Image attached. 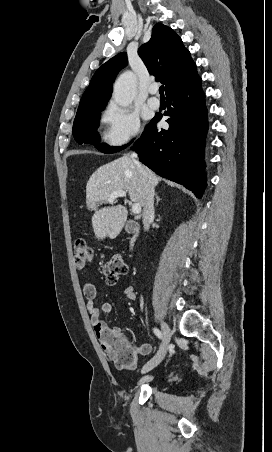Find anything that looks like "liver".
<instances>
[{
    "instance_id": "1",
    "label": "liver",
    "mask_w": 272,
    "mask_h": 452,
    "mask_svg": "<svg viewBox=\"0 0 272 452\" xmlns=\"http://www.w3.org/2000/svg\"><path fill=\"white\" fill-rule=\"evenodd\" d=\"M148 172L150 180L156 186L160 178L151 170L144 167ZM142 180L140 174L128 155L99 167L89 178L86 186V205L91 211L92 227L98 240L106 237L117 236L127 220V209L122 205L104 207L98 209L110 194L117 190L128 193L132 202L143 206Z\"/></svg>"
}]
</instances>
